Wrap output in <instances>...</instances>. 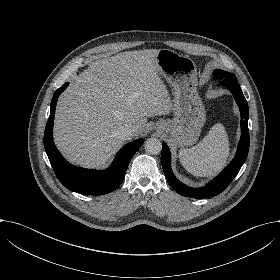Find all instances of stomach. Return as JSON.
<instances>
[{
  "label": "stomach",
  "instance_id": "1",
  "mask_svg": "<svg viewBox=\"0 0 280 280\" xmlns=\"http://www.w3.org/2000/svg\"><path fill=\"white\" fill-rule=\"evenodd\" d=\"M156 72L165 78L174 95L173 118L155 125L162 132V123L167 122L165 132L174 147L193 146L206 123V108L198 92L196 65L188 56L171 49H160L155 55Z\"/></svg>",
  "mask_w": 280,
  "mask_h": 280
}]
</instances>
